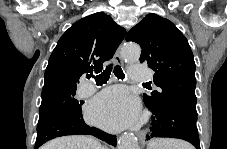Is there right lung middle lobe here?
I'll return each instance as SVG.
<instances>
[{
    "mask_svg": "<svg viewBox=\"0 0 227 149\" xmlns=\"http://www.w3.org/2000/svg\"><path fill=\"white\" fill-rule=\"evenodd\" d=\"M77 86L56 84L42 90V102L39 108V121L62 115H82V102L74 96Z\"/></svg>",
    "mask_w": 227,
    "mask_h": 149,
    "instance_id": "1",
    "label": "right lung middle lobe"
}]
</instances>
